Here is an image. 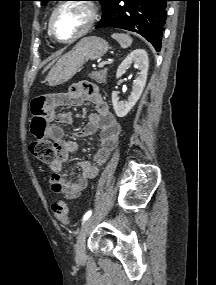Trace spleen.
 Segmentation results:
<instances>
[{
	"instance_id": "spleen-1",
	"label": "spleen",
	"mask_w": 216,
	"mask_h": 285,
	"mask_svg": "<svg viewBox=\"0 0 216 285\" xmlns=\"http://www.w3.org/2000/svg\"><path fill=\"white\" fill-rule=\"evenodd\" d=\"M112 38L118 41L122 48H128L132 44V38L128 34L114 33Z\"/></svg>"
}]
</instances>
